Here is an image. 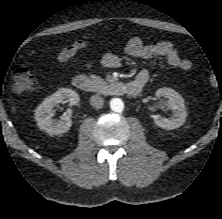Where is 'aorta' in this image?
<instances>
[{
    "mask_svg": "<svg viewBox=\"0 0 222 219\" xmlns=\"http://www.w3.org/2000/svg\"><path fill=\"white\" fill-rule=\"evenodd\" d=\"M110 108L114 112H122L124 109V103L119 98H113L110 101Z\"/></svg>",
    "mask_w": 222,
    "mask_h": 219,
    "instance_id": "762f6f07",
    "label": "aorta"
}]
</instances>
